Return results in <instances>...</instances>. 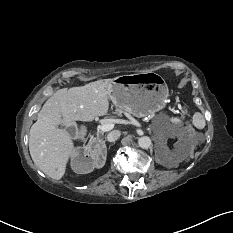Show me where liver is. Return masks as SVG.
Wrapping results in <instances>:
<instances>
[{
  "label": "liver",
  "mask_w": 233,
  "mask_h": 233,
  "mask_svg": "<svg viewBox=\"0 0 233 233\" xmlns=\"http://www.w3.org/2000/svg\"><path fill=\"white\" fill-rule=\"evenodd\" d=\"M112 79L57 90L43 105L29 133L31 158L42 172L60 180L70 157L76 154L73 137L57 126L73 127L75 121L89 122L109 111Z\"/></svg>",
  "instance_id": "6515ba94"
}]
</instances>
